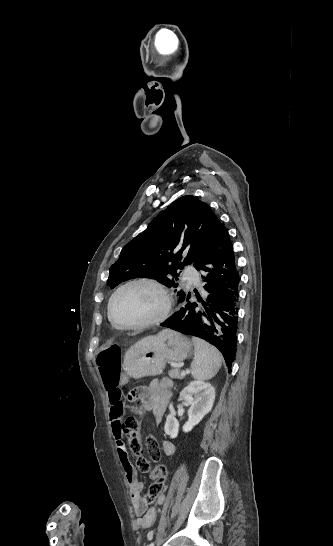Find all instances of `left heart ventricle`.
Instances as JSON below:
<instances>
[{"label":"left heart ventricle","instance_id":"obj_1","mask_svg":"<svg viewBox=\"0 0 333 546\" xmlns=\"http://www.w3.org/2000/svg\"><path fill=\"white\" fill-rule=\"evenodd\" d=\"M160 293L150 286L133 285L119 293L113 315L121 325H133L154 317L162 307Z\"/></svg>","mask_w":333,"mask_h":546}]
</instances>
